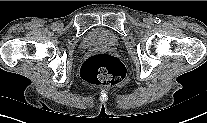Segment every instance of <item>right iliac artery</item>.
<instances>
[{"label":"right iliac artery","instance_id":"right-iliac-artery-1","mask_svg":"<svg viewBox=\"0 0 207 123\" xmlns=\"http://www.w3.org/2000/svg\"><path fill=\"white\" fill-rule=\"evenodd\" d=\"M52 28H53V29H57V28H58V23H57V22H54V23L52 24Z\"/></svg>","mask_w":207,"mask_h":123}]
</instances>
